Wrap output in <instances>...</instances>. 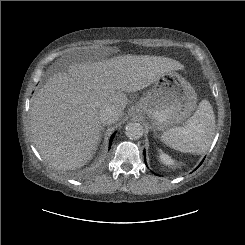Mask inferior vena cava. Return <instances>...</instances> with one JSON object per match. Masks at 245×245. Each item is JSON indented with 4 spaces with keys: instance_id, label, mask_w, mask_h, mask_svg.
<instances>
[{
    "instance_id": "602c4592",
    "label": "inferior vena cava",
    "mask_w": 245,
    "mask_h": 245,
    "mask_svg": "<svg viewBox=\"0 0 245 245\" xmlns=\"http://www.w3.org/2000/svg\"><path fill=\"white\" fill-rule=\"evenodd\" d=\"M99 118L103 124H113L119 118V112L114 105H103L99 110Z\"/></svg>"
}]
</instances>
